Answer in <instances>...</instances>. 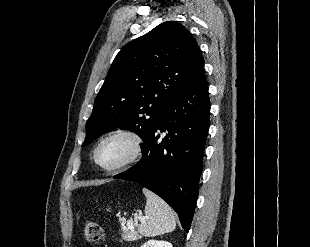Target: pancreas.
Segmentation results:
<instances>
[{
    "instance_id": "cf45deb5",
    "label": "pancreas",
    "mask_w": 310,
    "mask_h": 247,
    "mask_svg": "<svg viewBox=\"0 0 310 247\" xmlns=\"http://www.w3.org/2000/svg\"><path fill=\"white\" fill-rule=\"evenodd\" d=\"M121 230H122V234H121L122 240L136 241L141 238L139 233L133 229L122 227Z\"/></svg>"
}]
</instances>
